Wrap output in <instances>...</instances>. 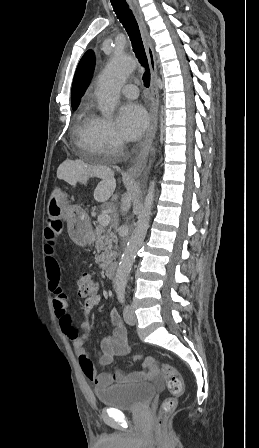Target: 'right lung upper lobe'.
Segmentation results:
<instances>
[{"instance_id": "obj_1", "label": "right lung upper lobe", "mask_w": 259, "mask_h": 448, "mask_svg": "<svg viewBox=\"0 0 259 448\" xmlns=\"http://www.w3.org/2000/svg\"><path fill=\"white\" fill-rule=\"evenodd\" d=\"M95 67V55L92 50H88L81 58L73 79L71 91L72 108H77L79 101L88 87Z\"/></svg>"}]
</instances>
